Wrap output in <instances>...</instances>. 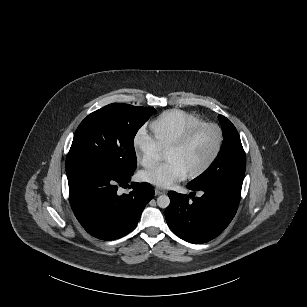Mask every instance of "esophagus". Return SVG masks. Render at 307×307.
I'll return each mask as SVG.
<instances>
[{"label":"esophagus","instance_id":"esophagus-1","mask_svg":"<svg viewBox=\"0 0 307 307\" xmlns=\"http://www.w3.org/2000/svg\"><path fill=\"white\" fill-rule=\"evenodd\" d=\"M165 193H166V191H164V190H161V189H159V188H156V189H155V195H156V196L162 195V194H165Z\"/></svg>","mask_w":307,"mask_h":307}]
</instances>
